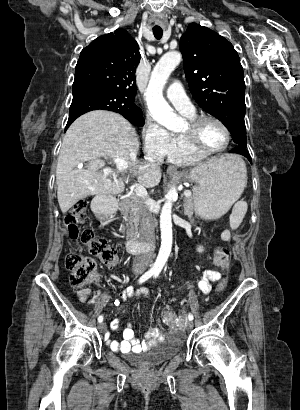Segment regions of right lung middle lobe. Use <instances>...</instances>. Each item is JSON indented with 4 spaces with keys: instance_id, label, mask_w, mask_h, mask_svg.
Returning a JSON list of instances; mask_svg holds the SVG:
<instances>
[{
    "instance_id": "obj_1",
    "label": "right lung middle lobe",
    "mask_w": 300,
    "mask_h": 410,
    "mask_svg": "<svg viewBox=\"0 0 300 410\" xmlns=\"http://www.w3.org/2000/svg\"><path fill=\"white\" fill-rule=\"evenodd\" d=\"M125 100L116 93L88 83L73 85V100L70 106L68 125L80 115L92 110H110L123 115L137 126L144 125L142 111L127 113L123 106ZM68 127V126H67Z\"/></svg>"
}]
</instances>
